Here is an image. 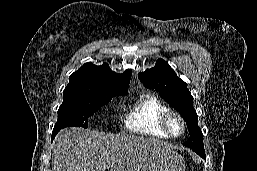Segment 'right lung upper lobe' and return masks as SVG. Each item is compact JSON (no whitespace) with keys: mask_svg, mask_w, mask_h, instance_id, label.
Wrapping results in <instances>:
<instances>
[{"mask_svg":"<svg viewBox=\"0 0 257 171\" xmlns=\"http://www.w3.org/2000/svg\"><path fill=\"white\" fill-rule=\"evenodd\" d=\"M131 75V70L116 74L106 63L96 66L89 62L70 75L66 88L101 89L127 94Z\"/></svg>","mask_w":257,"mask_h":171,"instance_id":"cb5924a9","label":"right lung upper lobe"}]
</instances>
